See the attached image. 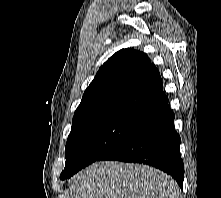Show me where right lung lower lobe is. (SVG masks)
I'll return each mask as SVG.
<instances>
[{"mask_svg": "<svg viewBox=\"0 0 221 198\" xmlns=\"http://www.w3.org/2000/svg\"><path fill=\"white\" fill-rule=\"evenodd\" d=\"M173 122L174 113L167 102L97 161L117 160L150 165L171 175L182 188L184 164L179 148L181 139Z\"/></svg>", "mask_w": 221, "mask_h": 198, "instance_id": "right-lung-lower-lobe-1", "label": "right lung lower lobe"}]
</instances>
